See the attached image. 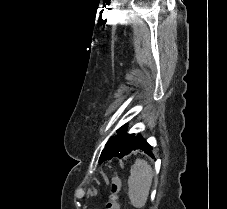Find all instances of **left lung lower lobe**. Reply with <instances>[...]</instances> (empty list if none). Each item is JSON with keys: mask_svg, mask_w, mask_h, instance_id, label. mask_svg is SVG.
I'll return each mask as SVG.
<instances>
[{"mask_svg": "<svg viewBox=\"0 0 227 209\" xmlns=\"http://www.w3.org/2000/svg\"><path fill=\"white\" fill-rule=\"evenodd\" d=\"M136 149L144 150L145 153L149 154V156H153L151 151L152 147L140 135L136 136V139L133 142L132 146L123 156L129 154L132 150Z\"/></svg>", "mask_w": 227, "mask_h": 209, "instance_id": "1", "label": "left lung lower lobe"}]
</instances>
